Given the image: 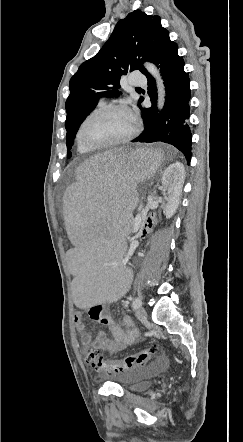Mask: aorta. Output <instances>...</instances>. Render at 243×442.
<instances>
[{"instance_id":"1","label":"aorta","mask_w":243,"mask_h":442,"mask_svg":"<svg viewBox=\"0 0 243 442\" xmlns=\"http://www.w3.org/2000/svg\"><path fill=\"white\" fill-rule=\"evenodd\" d=\"M146 69L154 76L156 79L157 84V90H158V102L159 105H161L164 102V96H165V86L163 84V80L160 76L159 71L156 69V67L151 63H145Z\"/></svg>"}]
</instances>
